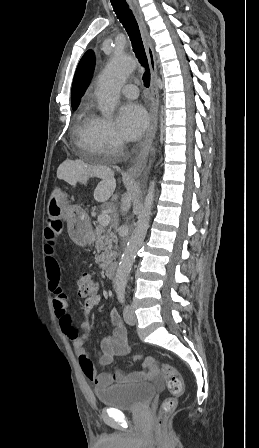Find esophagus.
Wrapping results in <instances>:
<instances>
[{"mask_svg":"<svg viewBox=\"0 0 259 448\" xmlns=\"http://www.w3.org/2000/svg\"><path fill=\"white\" fill-rule=\"evenodd\" d=\"M129 3L130 8L132 9L138 24L141 29L147 57H148V63L151 70V92H152V99H151V126L147 132L146 138L142 144V147L140 149L138 158L136 163L130 168L129 172L132 175L139 176L143 170V164L148 157L149 149L152 145L156 128H157V119H158V108H159V91H158V85H157V65H156V57L153 49L152 40L149 37L148 30L146 28V24L143 20V15L141 12V9L137 3V0H127Z\"/></svg>","mask_w":259,"mask_h":448,"instance_id":"1","label":"esophagus"}]
</instances>
